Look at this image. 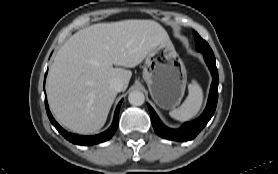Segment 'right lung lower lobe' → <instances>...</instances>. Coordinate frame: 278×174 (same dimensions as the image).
<instances>
[{"instance_id":"98d812e1","label":"right lung lower lobe","mask_w":278,"mask_h":174,"mask_svg":"<svg viewBox=\"0 0 278 174\" xmlns=\"http://www.w3.org/2000/svg\"><path fill=\"white\" fill-rule=\"evenodd\" d=\"M47 74V73H46ZM122 100L119 102L116 111H115V115H114V119H113V123L110 126V128L108 130H106L105 132L98 134V135H94V136H79L76 134H72V133H68L66 130H64L53 118L49 107H48V103H47V99L45 98V107H46V111L48 114V117L50 119V122L53 124V126H55V128L70 142L74 143V144H78V145H93V144H97L100 142H104L109 140L113 134L115 133L117 126H118V116H119V111H120V106H121Z\"/></svg>"}]
</instances>
